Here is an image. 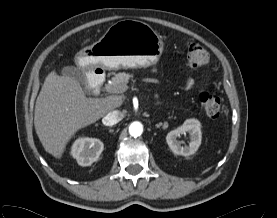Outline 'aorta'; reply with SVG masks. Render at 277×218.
<instances>
[{"instance_id":"762f6f07","label":"aorta","mask_w":277,"mask_h":218,"mask_svg":"<svg viewBox=\"0 0 277 218\" xmlns=\"http://www.w3.org/2000/svg\"><path fill=\"white\" fill-rule=\"evenodd\" d=\"M143 132V126L140 122H133L129 126V133L133 137H138L142 134Z\"/></svg>"}]
</instances>
